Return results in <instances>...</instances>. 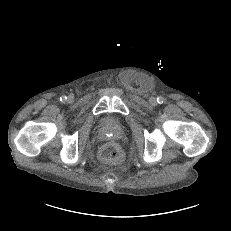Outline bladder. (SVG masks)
Here are the masks:
<instances>
[{"mask_svg": "<svg viewBox=\"0 0 231 231\" xmlns=\"http://www.w3.org/2000/svg\"><path fill=\"white\" fill-rule=\"evenodd\" d=\"M100 125L103 127H110V128H115V129H120L122 127V124L120 121L114 120L109 117H105L101 119Z\"/></svg>", "mask_w": 231, "mask_h": 231, "instance_id": "bladder-1", "label": "bladder"}]
</instances>
